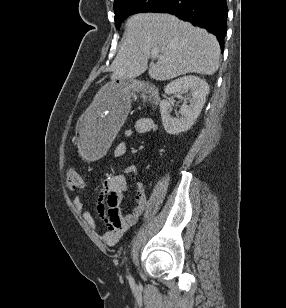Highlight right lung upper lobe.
<instances>
[{"label": "right lung upper lobe", "instance_id": "right-lung-upper-lobe-1", "mask_svg": "<svg viewBox=\"0 0 286 308\" xmlns=\"http://www.w3.org/2000/svg\"><path fill=\"white\" fill-rule=\"evenodd\" d=\"M118 1H120V0H114V4L117 3Z\"/></svg>", "mask_w": 286, "mask_h": 308}]
</instances>
